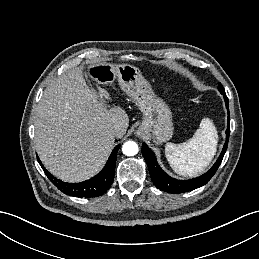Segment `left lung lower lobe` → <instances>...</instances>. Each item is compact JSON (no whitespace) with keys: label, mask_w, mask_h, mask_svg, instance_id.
Instances as JSON below:
<instances>
[{"label":"left lung lower lobe","mask_w":259,"mask_h":259,"mask_svg":"<svg viewBox=\"0 0 259 259\" xmlns=\"http://www.w3.org/2000/svg\"><path fill=\"white\" fill-rule=\"evenodd\" d=\"M222 95L224 96V100L226 102V108L228 111V122H227L228 128L226 130V142L216 163L212 166V168L208 172H206L202 176H199L197 178L190 179V180H177L175 178L170 177L159 167L155 158V154L152 152V150L145 143L142 144V154L148 165L151 180L153 181V183L156 185L157 188L169 193H184V192L192 191L196 188H199L205 185L215 174L227 150L229 134H230V125H229L230 116H229L228 98L225 93H223Z\"/></svg>","instance_id":"0a47b994"}]
</instances>
